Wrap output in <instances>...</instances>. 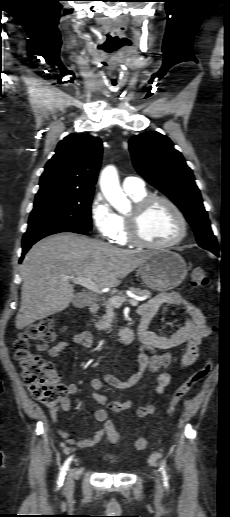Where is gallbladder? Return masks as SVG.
Returning a JSON list of instances; mask_svg holds the SVG:
<instances>
[{
	"label": "gallbladder",
	"instance_id": "bac80fb5",
	"mask_svg": "<svg viewBox=\"0 0 230 517\" xmlns=\"http://www.w3.org/2000/svg\"><path fill=\"white\" fill-rule=\"evenodd\" d=\"M73 303H74V305H75L76 307H83V306H85V304H86V302H85L84 298H83L80 294H78V295L74 298Z\"/></svg>",
	"mask_w": 230,
	"mask_h": 517
}]
</instances>
